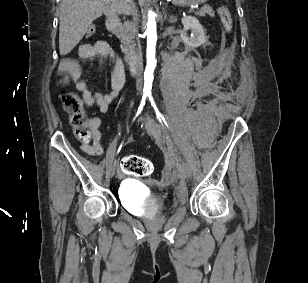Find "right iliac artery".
Masks as SVG:
<instances>
[{
    "label": "right iliac artery",
    "instance_id": "right-iliac-artery-1",
    "mask_svg": "<svg viewBox=\"0 0 308 283\" xmlns=\"http://www.w3.org/2000/svg\"><path fill=\"white\" fill-rule=\"evenodd\" d=\"M145 97H146V96L143 95V98H142V101H141L140 106H139V108H138V111H137V115H136V116H138V115L141 113V111H142V109H143V106L145 105ZM121 147H122V144L120 145V147H119V149H118V152L120 151Z\"/></svg>",
    "mask_w": 308,
    "mask_h": 283
}]
</instances>
